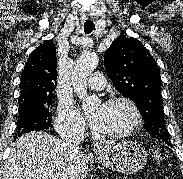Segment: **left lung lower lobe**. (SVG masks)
<instances>
[{
    "label": "left lung lower lobe",
    "instance_id": "0a47b994",
    "mask_svg": "<svg viewBox=\"0 0 183 179\" xmlns=\"http://www.w3.org/2000/svg\"><path fill=\"white\" fill-rule=\"evenodd\" d=\"M166 144L172 146L171 141L166 142Z\"/></svg>",
    "mask_w": 183,
    "mask_h": 179
}]
</instances>
